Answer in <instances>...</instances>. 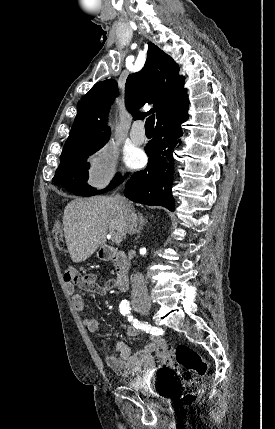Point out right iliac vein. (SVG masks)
Here are the masks:
<instances>
[{"label": "right iliac vein", "instance_id": "63e3f726", "mask_svg": "<svg viewBox=\"0 0 275 429\" xmlns=\"http://www.w3.org/2000/svg\"><path fill=\"white\" fill-rule=\"evenodd\" d=\"M150 308H151V306L149 303H143V304L138 305V307H137L138 311L144 315L149 314Z\"/></svg>", "mask_w": 275, "mask_h": 429}]
</instances>
